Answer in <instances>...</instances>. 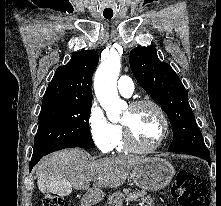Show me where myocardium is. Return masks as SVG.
<instances>
[{"label": "myocardium", "instance_id": "f54148a6", "mask_svg": "<svg viewBox=\"0 0 221 206\" xmlns=\"http://www.w3.org/2000/svg\"><path fill=\"white\" fill-rule=\"evenodd\" d=\"M145 105L153 107L158 113L162 122L161 133H160L159 138L155 142V144L146 148L138 146L132 137L130 129L126 125L121 123V129H122L126 149L137 154H149V153L155 152L162 145L169 131V122L165 114V111L162 108V106L156 101L149 99V98L136 100L129 105V109L135 110Z\"/></svg>", "mask_w": 221, "mask_h": 206}]
</instances>
